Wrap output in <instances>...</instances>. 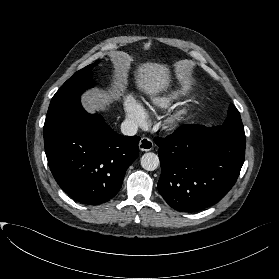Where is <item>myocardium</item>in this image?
Listing matches in <instances>:
<instances>
[{"label": "myocardium", "instance_id": "myocardium-1", "mask_svg": "<svg viewBox=\"0 0 279 279\" xmlns=\"http://www.w3.org/2000/svg\"><path fill=\"white\" fill-rule=\"evenodd\" d=\"M189 109L184 106L173 111L166 119V125L169 129H178L188 116Z\"/></svg>", "mask_w": 279, "mask_h": 279}]
</instances>
